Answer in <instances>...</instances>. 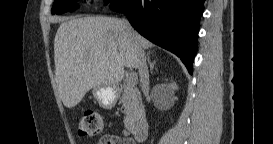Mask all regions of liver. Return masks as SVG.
I'll use <instances>...</instances> for the list:
<instances>
[{"label":"liver","instance_id":"6515ba94","mask_svg":"<svg viewBox=\"0 0 273 144\" xmlns=\"http://www.w3.org/2000/svg\"><path fill=\"white\" fill-rule=\"evenodd\" d=\"M135 34L143 49L152 47L150 41ZM135 43L122 20L115 17H84L61 23L54 39V60L64 106L75 107L92 88H116L124 77V67L138 68Z\"/></svg>","mask_w":273,"mask_h":144}]
</instances>
